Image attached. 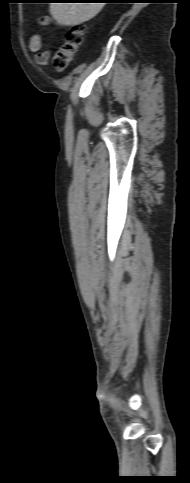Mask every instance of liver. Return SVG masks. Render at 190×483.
Masks as SVG:
<instances>
[{"label":"liver","mask_w":190,"mask_h":483,"mask_svg":"<svg viewBox=\"0 0 190 483\" xmlns=\"http://www.w3.org/2000/svg\"><path fill=\"white\" fill-rule=\"evenodd\" d=\"M104 3H50V13L60 25L76 26L95 17Z\"/></svg>","instance_id":"6515ba94"}]
</instances>
